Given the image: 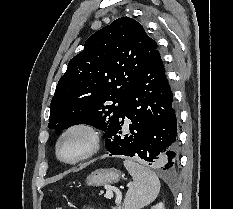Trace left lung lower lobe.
Masks as SVG:
<instances>
[{
    "label": "left lung lower lobe",
    "instance_id": "obj_1",
    "mask_svg": "<svg viewBox=\"0 0 233 209\" xmlns=\"http://www.w3.org/2000/svg\"><path fill=\"white\" fill-rule=\"evenodd\" d=\"M176 136L173 95L157 51L130 88L123 113L106 130L105 146L109 156L135 157L171 170L177 164Z\"/></svg>",
    "mask_w": 233,
    "mask_h": 209
}]
</instances>
